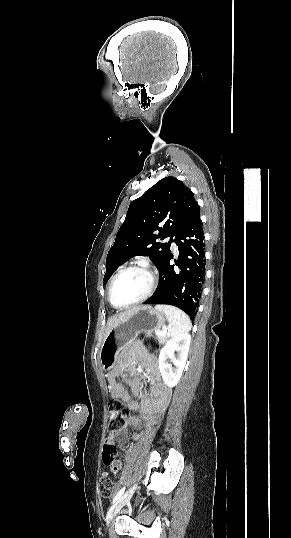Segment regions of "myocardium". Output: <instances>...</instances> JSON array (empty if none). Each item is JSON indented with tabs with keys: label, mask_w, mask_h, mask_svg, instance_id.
<instances>
[{
	"label": "myocardium",
	"mask_w": 291,
	"mask_h": 538,
	"mask_svg": "<svg viewBox=\"0 0 291 538\" xmlns=\"http://www.w3.org/2000/svg\"><path fill=\"white\" fill-rule=\"evenodd\" d=\"M132 270H139V271H142V272H144L145 274L148 275V277L150 279L149 288L146 291V293L144 295H142L140 298H138V299H136V300H134V301H132V302H130L128 304L118 306L113 302V299H112L113 286L115 284V281L117 280V278L120 275H122L125 272L132 271ZM157 282H158V279H157L156 273L154 272V270H152L149 266H147L145 264L137 263V264H132V265H129L127 267H124L121 270H119L113 276V278L111 279V281L109 283V287H108V300H109V303L116 309L129 308V307L135 306L137 304H140V303H142V302H144V301H146L147 299L150 298V296L153 294V292H154V290H155V288L157 286Z\"/></svg>",
	"instance_id": "1"
}]
</instances>
